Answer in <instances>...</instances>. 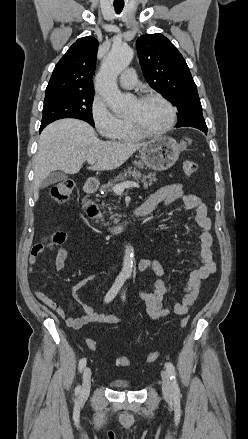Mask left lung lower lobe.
<instances>
[{
  "label": "left lung lower lobe",
  "instance_id": "0a47b994",
  "mask_svg": "<svg viewBox=\"0 0 248 439\" xmlns=\"http://www.w3.org/2000/svg\"><path fill=\"white\" fill-rule=\"evenodd\" d=\"M201 131H203L205 134H207V127L199 128Z\"/></svg>",
  "mask_w": 248,
  "mask_h": 439
}]
</instances>
